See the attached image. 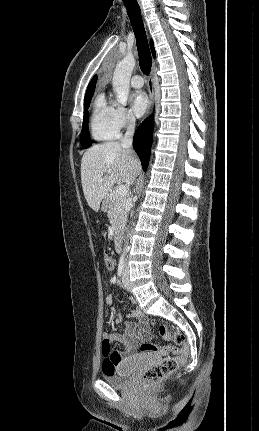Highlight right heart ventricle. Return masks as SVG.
Here are the masks:
<instances>
[{
    "mask_svg": "<svg viewBox=\"0 0 259 431\" xmlns=\"http://www.w3.org/2000/svg\"><path fill=\"white\" fill-rule=\"evenodd\" d=\"M113 107L108 105L105 95L100 93L93 101L90 115V132L96 141H111L119 137L113 120Z\"/></svg>",
    "mask_w": 259,
    "mask_h": 431,
    "instance_id": "e07e8e85",
    "label": "right heart ventricle"
}]
</instances>
